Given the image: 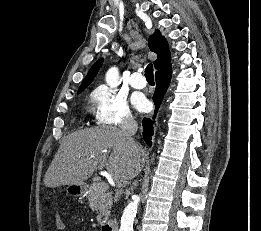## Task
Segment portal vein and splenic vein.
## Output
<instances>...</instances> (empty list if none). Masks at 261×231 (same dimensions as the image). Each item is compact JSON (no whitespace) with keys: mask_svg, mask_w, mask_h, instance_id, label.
Listing matches in <instances>:
<instances>
[{"mask_svg":"<svg viewBox=\"0 0 261 231\" xmlns=\"http://www.w3.org/2000/svg\"><path fill=\"white\" fill-rule=\"evenodd\" d=\"M108 183L107 182H102L101 184H100V188L102 189V190H107L108 189Z\"/></svg>","mask_w":261,"mask_h":231,"instance_id":"obj_1","label":"portal vein and splenic vein"}]
</instances>
